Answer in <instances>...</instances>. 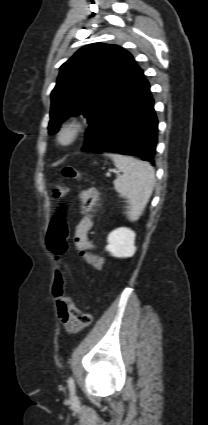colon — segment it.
Segmentation results:
<instances>
[{"instance_id": "obj_1", "label": "colon", "mask_w": 208, "mask_h": 425, "mask_svg": "<svg viewBox=\"0 0 208 425\" xmlns=\"http://www.w3.org/2000/svg\"><path fill=\"white\" fill-rule=\"evenodd\" d=\"M62 175L70 180H79V171L72 166H65L61 170ZM67 193V188L61 184H55L53 186V194L55 197H63ZM67 208L64 204L60 205L53 216L48 234H47V245L49 249L57 254L62 255L68 251L67 237L68 227L66 222ZM79 256L87 263L93 265L97 269H102L104 266V260L100 256L92 255L87 252L84 248H77ZM67 274V267H58L55 273V277L52 283V294L56 299H63L67 303L68 314L71 319L80 326L81 328L87 327L91 324L93 316L88 311H81L76 308L75 304L68 297L64 290V280Z\"/></svg>"}]
</instances>
